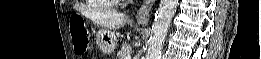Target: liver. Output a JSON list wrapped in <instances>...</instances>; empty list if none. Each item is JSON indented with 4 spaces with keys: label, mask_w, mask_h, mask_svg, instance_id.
<instances>
[{
    "label": "liver",
    "mask_w": 261,
    "mask_h": 59,
    "mask_svg": "<svg viewBox=\"0 0 261 59\" xmlns=\"http://www.w3.org/2000/svg\"><path fill=\"white\" fill-rule=\"evenodd\" d=\"M93 21L105 29L116 30L126 24L128 17L117 12H99L93 16Z\"/></svg>",
    "instance_id": "1"
}]
</instances>
